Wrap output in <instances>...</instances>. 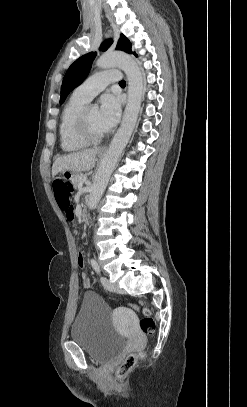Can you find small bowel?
<instances>
[{
    "label": "small bowel",
    "instance_id": "small-bowel-1",
    "mask_svg": "<svg viewBox=\"0 0 247 407\" xmlns=\"http://www.w3.org/2000/svg\"><path fill=\"white\" fill-rule=\"evenodd\" d=\"M64 214H65V217H66L67 221L71 225H75V210H74V207L71 206L67 211H64ZM77 264L81 268L84 266V256L81 253L77 257ZM82 283H83V286L85 288H88V287L91 286V280L85 274H82Z\"/></svg>",
    "mask_w": 247,
    "mask_h": 407
}]
</instances>
